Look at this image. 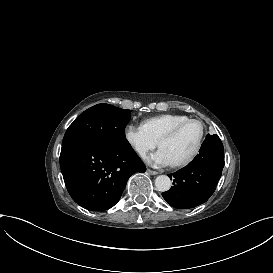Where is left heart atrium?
Instances as JSON below:
<instances>
[{"label":"left heart atrium","instance_id":"obj_1","mask_svg":"<svg viewBox=\"0 0 273 273\" xmlns=\"http://www.w3.org/2000/svg\"><path fill=\"white\" fill-rule=\"evenodd\" d=\"M146 162L152 166H168L173 164L168 152L164 148H160L154 154L146 158Z\"/></svg>","mask_w":273,"mask_h":273}]
</instances>
